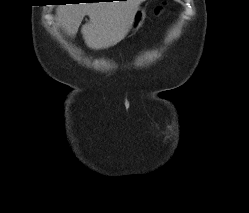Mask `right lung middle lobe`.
Segmentation results:
<instances>
[{"instance_id":"dd1d6c3e","label":"right lung middle lobe","mask_w":249,"mask_h":213,"mask_svg":"<svg viewBox=\"0 0 249 213\" xmlns=\"http://www.w3.org/2000/svg\"><path fill=\"white\" fill-rule=\"evenodd\" d=\"M64 2H75L76 0H62Z\"/></svg>"}]
</instances>
